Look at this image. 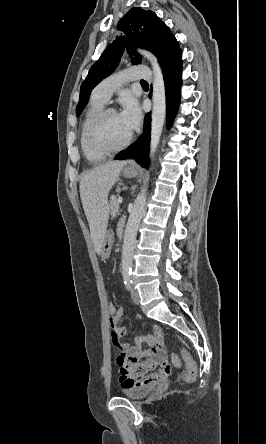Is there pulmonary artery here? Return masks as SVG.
<instances>
[{"label": "pulmonary artery", "instance_id": "e3ab8cb5", "mask_svg": "<svg viewBox=\"0 0 266 444\" xmlns=\"http://www.w3.org/2000/svg\"><path fill=\"white\" fill-rule=\"evenodd\" d=\"M151 72L148 66H132L120 70L104 79L93 91V96L107 102L113 92L126 82L138 79H150Z\"/></svg>", "mask_w": 266, "mask_h": 444}]
</instances>
